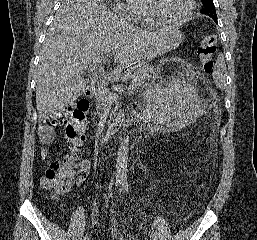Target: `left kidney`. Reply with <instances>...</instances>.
<instances>
[{
	"label": "left kidney",
	"mask_w": 257,
	"mask_h": 240,
	"mask_svg": "<svg viewBox=\"0 0 257 240\" xmlns=\"http://www.w3.org/2000/svg\"><path fill=\"white\" fill-rule=\"evenodd\" d=\"M197 103V96L191 86L174 81L157 91L154 100L156 119L169 128L180 130L199 116Z\"/></svg>",
	"instance_id": "1"
}]
</instances>
